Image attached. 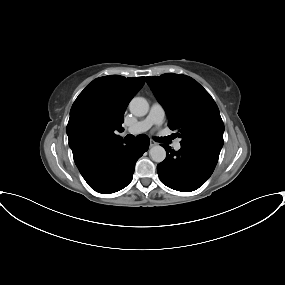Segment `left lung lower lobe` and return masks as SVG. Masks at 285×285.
<instances>
[{
  "mask_svg": "<svg viewBox=\"0 0 285 285\" xmlns=\"http://www.w3.org/2000/svg\"><path fill=\"white\" fill-rule=\"evenodd\" d=\"M167 152L166 159L157 165L158 176L166 186L191 192L202 186L214 171L219 153L203 148L181 145L174 151L162 145Z\"/></svg>",
  "mask_w": 285,
  "mask_h": 285,
  "instance_id": "0a47b994",
  "label": "left lung lower lobe"
}]
</instances>
